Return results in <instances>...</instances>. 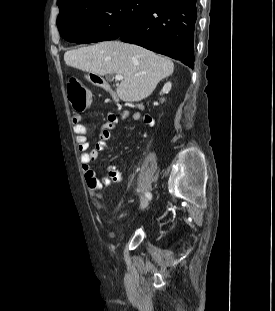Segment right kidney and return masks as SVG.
<instances>
[{
    "label": "right kidney",
    "instance_id": "right-kidney-1",
    "mask_svg": "<svg viewBox=\"0 0 275 311\" xmlns=\"http://www.w3.org/2000/svg\"><path fill=\"white\" fill-rule=\"evenodd\" d=\"M171 87H172V84L171 82H167L165 83V85L163 86L162 88V91L160 94H167L170 92L171 90ZM159 98L161 97L160 95L158 96ZM160 105H163L165 103V100L163 98H160L159 100L157 99L156 100Z\"/></svg>",
    "mask_w": 275,
    "mask_h": 311
}]
</instances>
